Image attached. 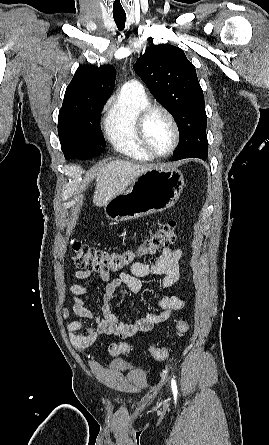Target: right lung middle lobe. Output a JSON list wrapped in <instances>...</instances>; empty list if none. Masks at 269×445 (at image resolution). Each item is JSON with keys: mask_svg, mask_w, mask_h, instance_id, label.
<instances>
[{"mask_svg": "<svg viewBox=\"0 0 269 445\" xmlns=\"http://www.w3.org/2000/svg\"><path fill=\"white\" fill-rule=\"evenodd\" d=\"M104 103L62 106L58 134L66 159H90L104 151L106 143L99 123Z\"/></svg>", "mask_w": 269, "mask_h": 445, "instance_id": "1", "label": "right lung middle lobe"}]
</instances>
